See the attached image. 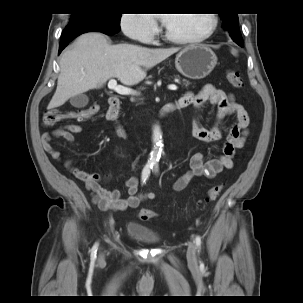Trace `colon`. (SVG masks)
Segmentation results:
<instances>
[{"mask_svg":"<svg viewBox=\"0 0 303 303\" xmlns=\"http://www.w3.org/2000/svg\"><path fill=\"white\" fill-rule=\"evenodd\" d=\"M227 80L236 88L243 87V79L240 76L239 72L236 70H229L226 74ZM98 110V107L96 104H92L88 108L81 110L76 113H72L68 115V118L70 119H76V120H85L93 116ZM65 116L57 111V110H47L43 116V124L47 127H53L57 125ZM224 187V184H219L216 186H213L205 196L202 203H209L214 200H216L222 189ZM155 213L148 209H142L139 213V218L141 220H150L155 217Z\"/></svg>","mask_w":303,"mask_h":303,"instance_id":"obj_1","label":"colon"}]
</instances>
